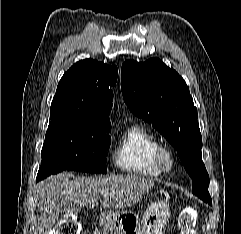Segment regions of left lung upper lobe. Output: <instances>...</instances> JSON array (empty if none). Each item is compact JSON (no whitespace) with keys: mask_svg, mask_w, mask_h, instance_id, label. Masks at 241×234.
Returning <instances> with one entry per match:
<instances>
[{"mask_svg":"<svg viewBox=\"0 0 241 234\" xmlns=\"http://www.w3.org/2000/svg\"><path fill=\"white\" fill-rule=\"evenodd\" d=\"M121 89L130 111L151 123L175 148L193 179L192 193L212 205L197 108L184 79L158 58L144 63L127 60L121 68Z\"/></svg>","mask_w":241,"mask_h":234,"instance_id":"obj_1","label":"left lung upper lobe"}]
</instances>
